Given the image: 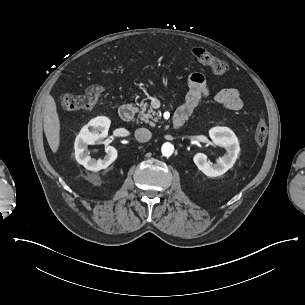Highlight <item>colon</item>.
Returning a JSON list of instances; mask_svg holds the SVG:
<instances>
[{
    "instance_id": "colon-1",
    "label": "colon",
    "mask_w": 305,
    "mask_h": 305,
    "mask_svg": "<svg viewBox=\"0 0 305 305\" xmlns=\"http://www.w3.org/2000/svg\"><path fill=\"white\" fill-rule=\"evenodd\" d=\"M194 56L198 62L209 66L214 73L223 75L228 71V65L214 56L204 47H196L193 50ZM105 86L102 84L89 85L83 95L77 97L72 94L62 96V106L67 110L91 109L104 93ZM268 133L267 122L264 116H261L256 124L254 139L258 146L264 145Z\"/></svg>"
}]
</instances>
